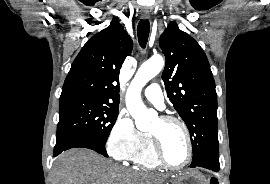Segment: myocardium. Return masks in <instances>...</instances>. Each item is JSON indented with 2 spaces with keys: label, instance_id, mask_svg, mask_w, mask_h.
<instances>
[{
  "label": "myocardium",
  "instance_id": "1",
  "mask_svg": "<svg viewBox=\"0 0 270 184\" xmlns=\"http://www.w3.org/2000/svg\"><path fill=\"white\" fill-rule=\"evenodd\" d=\"M160 120L163 123H175L177 125H179L181 127V129L183 130L184 134H185V138H186V143H187V157L185 159V161L180 164V165H171L170 163L167 162V160L164 157L163 154V150H162V144H161V140L158 136L150 133L149 137L151 139V143H152V147H153V151H154V155L156 157V160L158 161V163L169 170H181L183 168H185L192 160L193 157V143H192V138H191V134L190 131L186 125V123L181 120L180 118L173 116V115H163L160 117Z\"/></svg>",
  "mask_w": 270,
  "mask_h": 184
}]
</instances>
